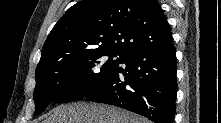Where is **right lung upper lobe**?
<instances>
[{"label":"right lung upper lobe","mask_w":221,"mask_h":123,"mask_svg":"<svg viewBox=\"0 0 221 123\" xmlns=\"http://www.w3.org/2000/svg\"><path fill=\"white\" fill-rule=\"evenodd\" d=\"M172 35L155 0H84L73 5L48 35L40 66L94 50L127 54Z\"/></svg>","instance_id":"obj_1"}]
</instances>
